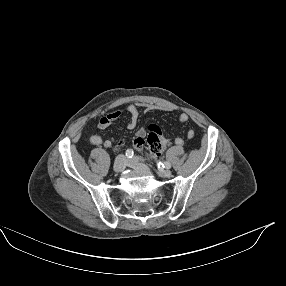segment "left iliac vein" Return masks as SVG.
<instances>
[{"label":"left iliac vein","instance_id":"4c4485c4","mask_svg":"<svg viewBox=\"0 0 286 286\" xmlns=\"http://www.w3.org/2000/svg\"><path fill=\"white\" fill-rule=\"evenodd\" d=\"M138 160H139L138 158H134L128 162V165L132 168H137L141 165ZM157 173L161 177H170L171 176V171L167 170V169H159Z\"/></svg>","mask_w":286,"mask_h":286}]
</instances>
